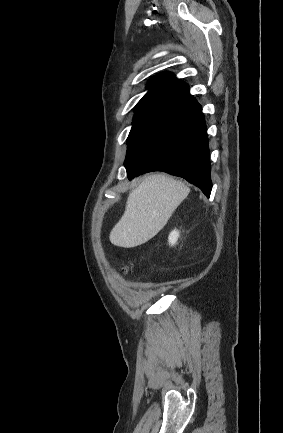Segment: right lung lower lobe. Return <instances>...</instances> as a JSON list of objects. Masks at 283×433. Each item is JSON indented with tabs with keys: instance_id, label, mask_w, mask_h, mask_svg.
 <instances>
[{
	"instance_id": "right-lung-lower-lobe-1",
	"label": "right lung lower lobe",
	"mask_w": 283,
	"mask_h": 433,
	"mask_svg": "<svg viewBox=\"0 0 283 433\" xmlns=\"http://www.w3.org/2000/svg\"><path fill=\"white\" fill-rule=\"evenodd\" d=\"M124 165L128 178L163 171L211 193L208 137L201 106L195 98L149 122L128 145Z\"/></svg>"
}]
</instances>
